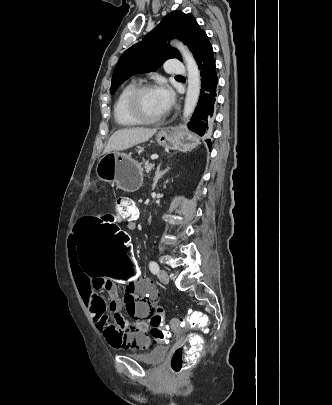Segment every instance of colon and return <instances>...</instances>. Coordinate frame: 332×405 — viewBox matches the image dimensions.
<instances>
[{
    "instance_id": "5ec220e1",
    "label": "colon",
    "mask_w": 332,
    "mask_h": 405,
    "mask_svg": "<svg viewBox=\"0 0 332 405\" xmlns=\"http://www.w3.org/2000/svg\"><path fill=\"white\" fill-rule=\"evenodd\" d=\"M117 219L127 221L136 212V206L127 196L116 199ZM77 262H82L84 275H102L103 281H117L118 287H131L132 281H138L139 263L132 259L133 237L117 220H77ZM148 288H154L149 286ZM169 309L157 307L146 324L150 325L152 345L166 343L170 340L169 326L163 321ZM210 316L200 311H193L179 318L181 328H200L208 331ZM202 337L192 333L177 346L171 356L170 368L173 374H181L198 358Z\"/></svg>"
}]
</instances>
